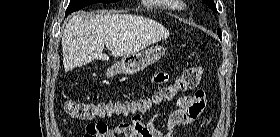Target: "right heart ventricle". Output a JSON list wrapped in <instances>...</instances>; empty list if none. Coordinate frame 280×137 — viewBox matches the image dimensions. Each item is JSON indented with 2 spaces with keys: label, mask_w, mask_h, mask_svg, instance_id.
<instances>
[{
  "label": "right heart ventricle",
  "mask_w": 280,
  "mask_h": 137,
  "mask_svg": "<svg viewBox=\"0 0 280 137\" xmlns=\"http://www.w3.org/2000/svg\"><path fill=\"white\" fill-rule=\"evenodd\" d=\"M149 1H153V0H149ZM163 1L170 2V10L173 12H183L187 9L183 4L184 1L182 0H163Z\"/></svg>",
  "instance_id": "obj_1"
}]
</instances>
